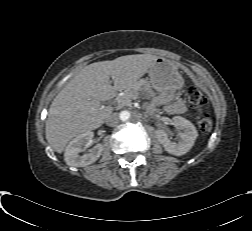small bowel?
<instances>
[{
  "label": "small bowel",
  "instance_id": "small-bowel-1",
  "mask_svg": "<svg viewBox=\"0 0 252 231\" xmlns=\"http://www.w3.org/2000/svg\"><path fill=\"white\" fill-rule=\"evenodd\" d=\"M167 109L173 113H183L185 111L184 104L181 101H176L174 103L168 104Z\"/></svg>",
  "mask_w": 252,
  "mask_h": 231
}]
</instances>
